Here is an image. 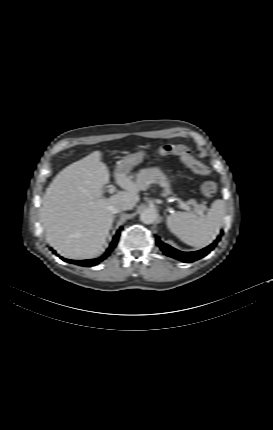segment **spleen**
<instances>
[{"mask_svg": "<svg viewBox=\"0 0 273 430\" xmlns=\"http://www.w3.org/2000/svg\"><path fill=\"white\" fill-rule=\"evenodd\" d=\"M224 213L223 200H215L204 216L177 211L167 217L168 229L187 245L203 248L220 232Z\"/></svg>", "mask_w": 273, "mask_h": 430, "instance_id": "obj_1", "label": "spleen"}]
</instances>
